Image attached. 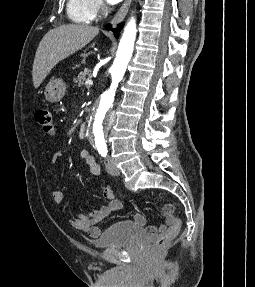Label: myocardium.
Masks as SVG:
<instances>
[{"label":"myocardium","instance_id":"obj_1","mask_svg":"<svg viewBox=\"0 0 255 287\" xmlns=\"http://www.w3.org/2000/svg\"><path fill=\"white\" fill-rule=\"evenodd\" d=\"M96 39H109V38H96ZM98 48H102V47H98Z\"/></svg>","mask_w":255,"mask_h":287}]
</instances>
